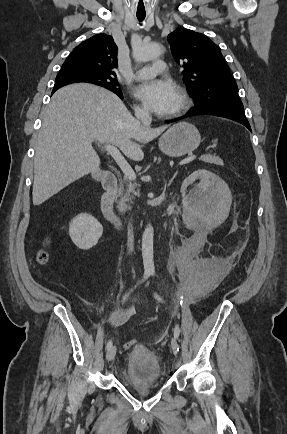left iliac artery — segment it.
I'll list each match as a JSON object with an SVG mask.
<instances>
[{"label": "left iliac artery", "instance_id": "1", "mask_svg": "<svg viewBox=\"0 0 287 434\" xmlns=\"http://www.w3.org/2000/svg\"><path fill=\"white\" fill-rule=\"evenodd\" d=\"M154 297H155L159 302H163V299H162L158 294L154 293ZM180 304H181V306L183 305V301H182V300L180 301ZM179 334H180V328H179L178 325H176L175 328H174V337H175L176 339H178Z\"/></svg>", "mask_w": 287, "mask_h": 434}]
</instances>
